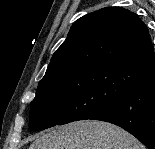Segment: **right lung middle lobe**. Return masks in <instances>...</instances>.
<instances>
[{
	"instance_id": "dd1d6c3e",
	"label": "right lung middle lobe",
	"mask_w": 155,
	"mask_h": 149,
	"mask_svg": "<svg viewBox=\"0 0 155 149\" xmlns=\"http://www.w3.org/2000/svg\"><path fill=\"white\" fill-rule=\"evenodd\" d=\"M147 78L126 68H100L41 81L29 128L43 130L89 119Z\"/></svg>"
}]
</instances>
